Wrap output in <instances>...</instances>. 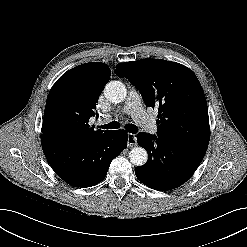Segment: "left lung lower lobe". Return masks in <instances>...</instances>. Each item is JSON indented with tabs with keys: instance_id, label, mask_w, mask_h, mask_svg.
Returning <instances> with one entry per match:
<instances>
[{
	"instance_id": "0a47b994",
	"label": "left lung lower lobe",
	"mask_w": 247,
	"mask_h": 247,
	"mask_svg": "<svg viewBox=\"0 0 247 247\" xmlns=\"http://www.w3.org/2000/svg\"><path fill=\"white\" fill-rule=\"evenodd\" d=\"M137 141L148 152L149 161L135 169L136 177L156 190H171L189 180L207 150L146 133H139Z\"/></svg>"
}]
</instances>
